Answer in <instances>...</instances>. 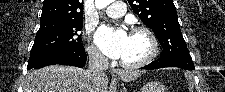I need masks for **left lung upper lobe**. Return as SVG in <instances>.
<instances>
[{
  "instance_id": "obj_1",
  "label": "left lung upper lobe",
  "mask_w": 225,
  "mask_h": 92,
  "mask_svg": "<svg viewBox=\"0 0 225 92\" xmlns=\"http://www.w3.org/2000/svg\"><path fill=\"white\" fill-rule=\"evenodd\" d=\"M132 10L157 36L160 59L191 58L182 36L172 0H128Z\"/></svg>"
}]
</instances>
